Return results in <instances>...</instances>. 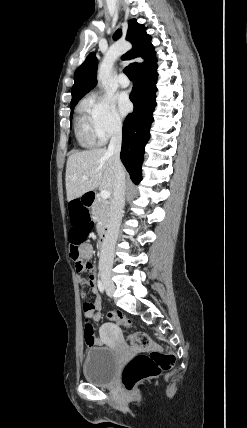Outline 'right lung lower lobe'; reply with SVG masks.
I'll return each mask as SVG.
<instances>
[{
	"mask_svg": "<svg viewBox=\"0 0 247 428\" xmlns=\"http://www.w3.org/2000/svg\"><path fill=\"white\" fill-rule=\"evenodd\" d=\"M157 59L132 70L134 89L130 100L134 111L129 114L123 124L121 160L130 174L132 181L138 184L141 179V165L144 147L150 134L153 122L152 113L156 106Z\"/></svg>",
	"mask_w": 247,
	"mask_h": 428,
	"instance_id": "obj_1",
	"label": "right lung lower lobe"
}]
</instances>
